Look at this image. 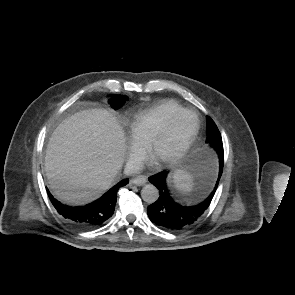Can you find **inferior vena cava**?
I'll use <instances>...</instances> for the list:
<instances>
[{"label":"inferior vena cava","mask_w":295,"mask_h":295,"mask_svg":"<svg viewBox=\"0 0 295 295\" xmlns=\"http://www.w3.org/2000/svg\"><path fill=\"white\" fill-rule=\"evenodd\" d=\"M141 169H142L141 162L136 161V160H129L126 163L124 172L126 175H130L133 173H139Z\"/></svg>","instance_id":"602c4592"}]
</instances>
